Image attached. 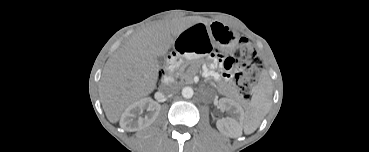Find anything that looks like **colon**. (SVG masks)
<instances>
[{"instance_id":"5ec220e1","label":"colon","mask_w":369,"mask_h":152,"mask_svg":"<svg viewBox=\"0 0 369 152\" xmlns=\"http://www.w3.org/2000/svg\"><path fill=\"white\" fill-rule=\"evenodd\" d=\"M212 66L225 72H234V80L243 94H248L255 86L261 72L262 63L251 44L242 39L237 52L232 57L213 58Z\"/></svg>"}]
</instances>
